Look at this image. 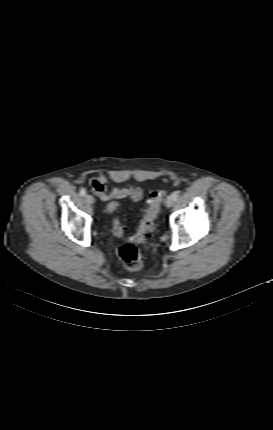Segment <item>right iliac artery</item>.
<instances>
[{
	"mask_svg": "<svg viewBox=\"0 0 273 430\" xmlns=\"http://www.w3.org/2000/svg\"><path fill=\"white\" fill-rule=\"evenodd\" d=\"M86 193H87L86 189L82 188V189L80 190V195H81V196H85V195H86Z\"/></svg>",
	"mask_w": 273,
	"mask_h": 430,
	"instance_id": "1",
	"label": "right iliac artery"
}]
</instances>
